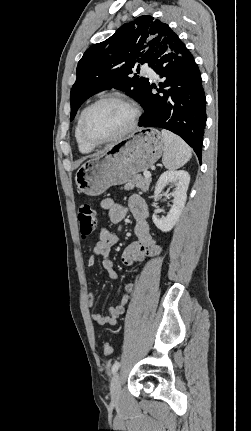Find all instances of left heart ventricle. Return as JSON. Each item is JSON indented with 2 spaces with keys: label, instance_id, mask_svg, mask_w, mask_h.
<instances>
[{
  "label": "left heart ventricle",
  "instance_id": "left-heart-ventricle-1",
  "mask_svg": "<svg viewBox=\"0 0 251 431\" xmlns=\"http://www.w3.org/2000/svg\"><path fill=\"white\" fill-rule=\"evenodd\" d=\"M131 115L130 108L124 104L104 102L90 113L86 122L87 134L94 140L112 137L127 127Z\"/></svg>",
  "mask_w": 251,
  "mask_h": 431
}]
</instances>
